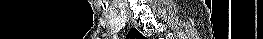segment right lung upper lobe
<instances>
[{
    "label": "right lung upper lobe",
    "mask_w": 263,
    "mask_h": 39,
    "mask_svg": "<svg viewBox=\"0 0 263 39\" xmlns=\"http://www.w3.org/2000/svg\"><path fill=\"white\" fill-rule=\"evenodd\" d=\"M128 35H131V38L132 39H140V38H142L143 36H142V34H140L136 29H134V30H130V32L128 33Z\"/></svg>",
    "instance_id": "obj_1"
}]
</instances>
